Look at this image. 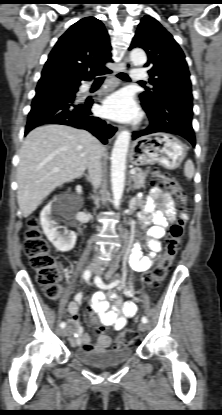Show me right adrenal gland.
Returning <instances> with one entry per match:
<instances>
[{"mask_svg": "<svg viewBox=\"0 0 222 415\" xmlns=\"http://www.w3.org/2000/svg\"><path fill=\"white\" fill-rule=\"evenodd\" d=\"M84 177L86 178V180H87L88 182H90V178H89V176H88L87 174H84Z\"/></svg>", "mask_w": 222, "mask_h": 415, "instance_id": "obj_1", "label": "right adrenal gland"}]
</instances>
